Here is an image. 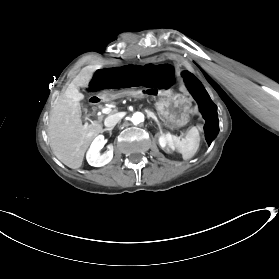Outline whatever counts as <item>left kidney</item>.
<instances>
[{
    "mask_svg": "<svg viewBox=\"0 0 279 279\" xmlns=\"http://www.w3.org/2000/svg\"><path fill=\"white\" fill-rule=\"evenodd\" d=\"M159 142H160L161 147L165 148V149L171 148L173 146L172 137L170 134H165L164 136L159 135Z\"/></svg>",
    "mask_w": 279,
    "mask_h": 279,
    "instance_id": "5707ae66",
    "label": "left kidney"
}]
</instances>
